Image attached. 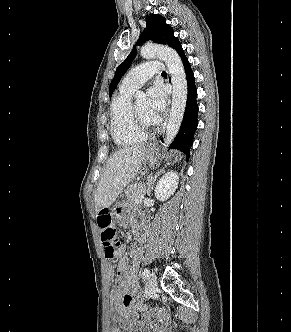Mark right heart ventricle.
I'll use <instances>...</instances> for the list:
<instances>
[{
    "label": "right heart ventricle",
    "instance_id": "1",
    "mask_svg": "<svg viewBox=\"0 0 291 332\" xmlns=\"http://www.w3.org/2000/svg\"><path fill=\"white\" fill-rule=\"evenodd\" d=\"M133 91L120 88L112 101L110 110V129L114 142L120 146L137 144L145 140L146 136L139 133L132 119Z\"/></svg>",
    "mask_w": 291,
    "mask_h": 332
}]
</instances>
